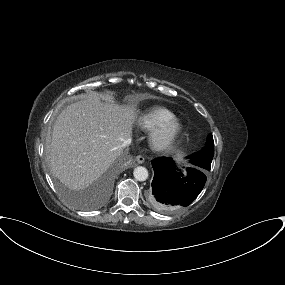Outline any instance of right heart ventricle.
Here are the masks:
<instances>
[{"label": "right heart ventricle", "instance_id": "e07e8e85", "mask_svg": "<svg viewBox=\"0 0 285 285\" xmlns=\"http://www.w3.org/2000/svg\"><path fill=\"white\" fill-rule=\"evenodd\" d=\"M175 120L172 112L165 108H154L140 116L138 124L147 131H154L166 123Z\"/></svg>", "mask_w": 285, "mask_h": 285}]
</instances>
